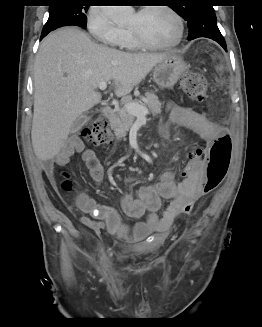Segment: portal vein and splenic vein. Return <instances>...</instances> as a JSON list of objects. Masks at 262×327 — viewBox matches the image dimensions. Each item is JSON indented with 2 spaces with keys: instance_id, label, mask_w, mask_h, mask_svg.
Listing matches in <instances>:
<instances>
[{
  "instance_id": "obj_1",
  "label": "portal vein and splenic vein",
  "mask_w": 262,
  "mask_h": 327,
  "mask_svg": "<svg viewBox=\"0 0 262 327\" xmlns=\"http://www.w3.org/2000/svg\"><path fill=\"white\" fill-rule=\"evenodd\" d=\"M98 88L100 90H105L107 88V82H101L98 85ZM124 107L127 109V111L137 117H144L147 114H149V110L138 104V103H134V102H128L124 105Z\"/></svg>"
}]
</instances>
